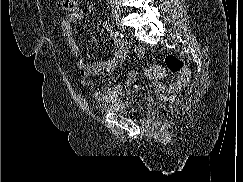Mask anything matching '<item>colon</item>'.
<instances>
[{
    "mask_svg": "<svg viewBox=\"0 0 243 182\" xmlns=\"http://www.w3.org/2000/svg\"><path fill=\"white\" fill-rule=\"evenodd\" d=\"M60 7L66 12H75L77 10V0H60ZM166 72L178 75V80L172 86L173 90L180 89L189 80V72L184 62L174 54H168L165 57L164 65H150L144 71L147 78L154 80L163 78Z\"/></svg>",
    "mask_w": 243,
    "mask_h": 182,
    "instance_id": "5ec220e1",
    "label": "colon"
}]
</instances>
